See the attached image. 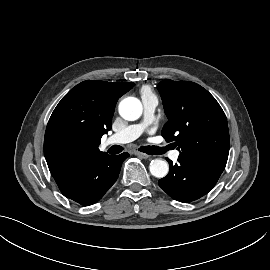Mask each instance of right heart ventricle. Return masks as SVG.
<instances>
[{"instance_id":"e07e8e85","label":"right heart ventricle","mask_w":270,"mask_h":270,"mask_svg":"<svg viewBox=\"0 0 270 270\" xmlns=\"http://www.w3.org/2000/svg\"><path fill=\"white\" fill-rule=\"evenodd\" d=\"M141 96H148V95H154L151 91V89L147 86L142 87L140 90Z\"/></svg>"}]
</instances>
